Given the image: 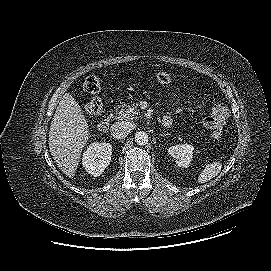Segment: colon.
<instances>
[{
  "instance_id": "obj_1",
  "label": "colon",
  "mask_w": 271,
  "mask_h": 271,
  "mask_svg": "<svg viewBox=\"0 0 271 271\" xmlns=\"http://www.w3.org/2000/svg\"><path fill=\"white\" fill-rule=\"evenodd\" d=\"M156 80L160 84L170 85L175 82L174 76L167 72H158ZM100 80L97 76H88L83 83V90L88 94H96L100 90ZM85 113L89 117H96L103 111V101L99 96H93L91 100L85 105ZM220 132L217 131L215 136H219Z\"/></svg>"
}]
</instances>
